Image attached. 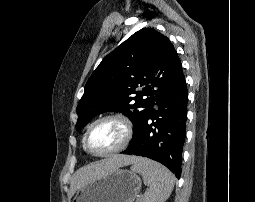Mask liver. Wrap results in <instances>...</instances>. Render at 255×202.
Listing matches in <instances>:
<instances>
[{"instance_id": "obj_1", "label": "liver", "mask_w": 255, "mask_h": 202, "mask_svg": "<svg viewBox=\"0 0 255 202\" xmlns=\"http://www.w3.org/2000/svg\"><path fill=\"white\" fill-rule=\"evenodd\" d=\"M137 160L138 158L135 156L113 155L106 159H102L101 161L80 168L78 171H76L72 178L70 185L71 195H73L79 187L88 183L89 181L103 177L119 167L133 164Z\"/></svg>"}]
</instances>
